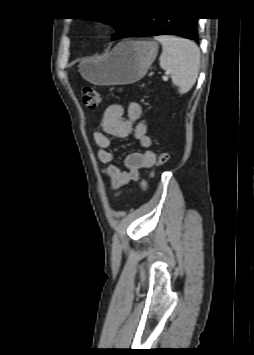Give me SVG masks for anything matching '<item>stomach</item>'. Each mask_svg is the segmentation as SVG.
Segmentation results:
<instances>
[{"label": "stomach", "instance_id": "stomach-1", "mask_svg": "<svg viewBox=\"0 0 254 355\" xmlns=\"http://www.w3.org/2000/svg\"><path fill=\"white\" fill-rule=\"evenodd\" d=\"M157 52L155 41L126 39L118 43L105 59L86 58L78 68L82 77L93 84H131L146 75Z\"/></svg>", "mask_w": 254, "mask_h": 355}]
</instances>
